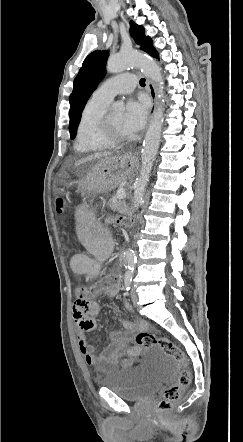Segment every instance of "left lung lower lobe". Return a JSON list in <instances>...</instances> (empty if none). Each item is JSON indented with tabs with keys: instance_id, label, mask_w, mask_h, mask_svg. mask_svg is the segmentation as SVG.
<instances>
[{
	"instance_id": "0a47b994",
	"label": "left lung lower lobe",
	"mask_w": 243,
	"mask_h": 442,
	"mask_svg": "<svg viewBox=\"0 0 243 442\" xmlns=\"http://www.w3.org/2000/svg\"><path fill=\"white\" fill-rule=\"evenodd\" d=\"M150 55L155 57V58H159V55H158V53H157V51L155 49L151 52Z\"/></svg>"
}]
</instances>
